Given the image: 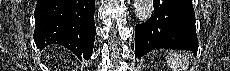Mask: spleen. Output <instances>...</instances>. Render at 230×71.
Segmentation results:
<instances>
[{"instance_id":"3e777b00","label":"spleen","mask_w":230,"mask_h":71,"mask_svg":"<svg viewBox=\"0 0 230 71\" xmlns=\"http://www.w3.org/2000/svg\"><path fill=\"white\" fill-rule=\"evenodd\" d=\"M166 61L169 67L173 71H177V69L180 67L182 71H186L188 68V58L186 56H183L181 53H173L166 56Z\"/></svg>"}]
</instances>
